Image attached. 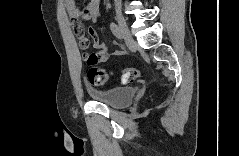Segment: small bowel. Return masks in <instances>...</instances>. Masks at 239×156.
Instances as JSON below:
<instances>
[{
    "instance_id": "obj_1",
    "label": "small bowel",
    "mask_w": 239,
    "mask_h": 156,
    "mask_svg": "<svg viewBox=\"0 0 239 156\" xmlns=\"http://www.w3.org/2000/svg\"><path fill=\"white\" fill-rule=\"evenodd\" d=\"M67 11L72 16L71 22L75 35L78 38L79 46L82 50H87L90 46V39L93 41L94 47L97 52L85 53L84 58L86 63L90 66H96L99 63L106 62L109 58L108 46L100 41L99 34L94 27L88 28V34L90 39L85 36L84 29L82 27L79 14L84 13V19L90 20L92 23H96L101 15V2L100 0H90L86 3L82 10L77 8L76 4L72 0L64 2ZM123 50H115L113 55H123Z\"/></svg>"
}]
</instances>
